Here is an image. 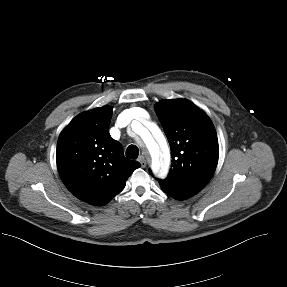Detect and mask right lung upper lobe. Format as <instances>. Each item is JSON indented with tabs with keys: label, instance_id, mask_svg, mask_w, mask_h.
Returning <instances> with one entry per match:
<instances>
[{
	"label": "right lung upper lobe",
	"instance_id": "obj_1",
	"mask_svg": "<svg viewBox=\"0 0 287 287\" xmlns=\"http://www.w3.org/2000/svg\"><path fill=\"white\" fill-rule=\"evenodd\" d=\"M111 107L76 116L61 132L56 151L59 175L78 199L107 204L120 193L140 163L124 157L121 144L109 134Z\"/></svg>",
	"mask_w": 287,
	"mask_h": 287
}]
</instances>
